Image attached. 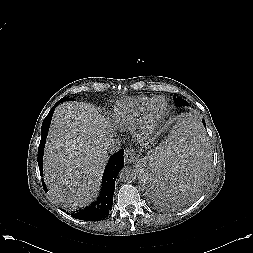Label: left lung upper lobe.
<instances>
[{"instance_id": "5c2ea615", "label": "left lung upper lobe", "mask_w": 253, "mask_h": 253, "mask_svg": "<svg viewBox=\"0 0 253 253\" xmlns=\"http://www.w3.org/2000/svg\"><path fill=\"white\" fill-rule=\"evenodd\" d=\"M174 102L178 105V106H188V103L180 98H174Z\"/></svg>"}]
</instances>
